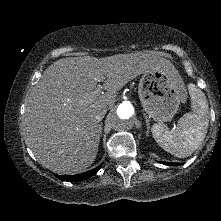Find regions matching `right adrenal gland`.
Wrapping results in <instances>:
<instances>
[{"mask_svg":"<svg viewBox=\"0 0 221 221\" xmlns=\"http://www.w3.org/2000/svg\"><path fill=\"white\" fill-rule=\"evenodd\" d=\"M99 129H100V136L102 135V123L99 124Z\"/></svg>","mask_w":221,"mask_h":221,"instance_id":"2a0ac1e0","label":"right adrenal gland"}]
</instances>
